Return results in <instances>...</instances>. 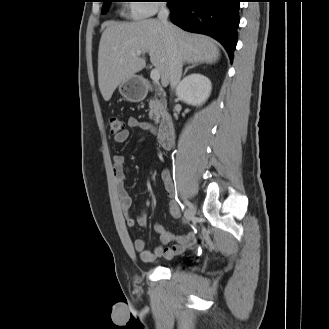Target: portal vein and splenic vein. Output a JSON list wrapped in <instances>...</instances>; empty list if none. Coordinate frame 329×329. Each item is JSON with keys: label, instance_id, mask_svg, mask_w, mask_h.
Listing matches in <instances>:
<instances>
[{"label": "portal vein and splenic vein", "instance_id": "portal-vein-and-splenic-vein-1", "mask_svg": "<svg viewBox=\"0 0 329 329\" xmlns=\"http://www.w3.org/2000/svg\"><path fill=\"white\" fill-rule=\"evenodd\" d=\"M140 55V53H138ZM150 77L152 79L153 82H158L160 79V73L158 69H152L151 73H150Z\"/></svg>", "mask_w": 329, "mask_h": 329}]
</instances>
